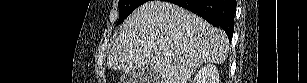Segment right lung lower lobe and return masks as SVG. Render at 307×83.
<instances>
[{
	"label": "right lung lower lobe",
	"mask_w": 307,
	"mask_h": 83,
	"mask_svg": "<svg viewBox=\"0 0 307 83\" xmlns=\"http://www.w3.org/2000/svg\"><path fill=\"white\" fill-rule=\"evenodd\" d=\"M196 13L213 26L221 27L231 40L234 31L235 0H171Z\"/></svg>",
	"instance_id": "98d812e1"
}]
</instances>
